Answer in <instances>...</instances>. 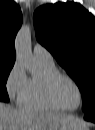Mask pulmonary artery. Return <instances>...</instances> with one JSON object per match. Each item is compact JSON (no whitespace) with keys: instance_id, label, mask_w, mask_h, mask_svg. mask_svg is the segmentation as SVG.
I'll list each match as a JSON object with an SVG mask.
<instances>
[{"instance_id":"pulmonary-artery-1","label":"pulmonary artery","mask_w":95,"mask_h":130,"mask_svg":"<svg viewBox=\"0 0 95 130\" xmlns=\"http://www.w3.org/2000/svg\"><path fill=\"white\" fill-rule=\"evenodd\" d=\"M33 55L37 61L54 63L51 53L44 46L38 43L34 45Z\"/></svg>"}]
</instances>
